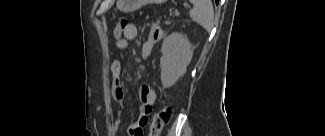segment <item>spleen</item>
I'll return each instance as SVG.
<instances>
[{
	"instance_id": "spleen-1",
	"label": "spleen",
	"mask_w": 325,
	"mask_h": 136,
	"mask_svg": "<svg viewBox=\"0 0 325 136\" xmlns=\"http://www.w3.org/2000/svg\"><path fill=\"white\" fill-rule=\"evenodd\" d=\"M194 8L190 10L193 21L210 32L214 27V10L211 0H194Z\"/></svg>"
}]
</instances>
